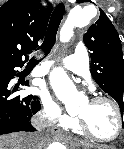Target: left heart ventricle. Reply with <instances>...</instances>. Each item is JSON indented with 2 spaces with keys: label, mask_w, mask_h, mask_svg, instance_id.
<instances>
[{
  "label": "left heart ventricle",
  "mask_w": 124,
  "mask_h": 149,
  "mask_svg": "<svg viewBox=\"0 0 124 149\" xmlns=\"http://www.w3.org/2000/svg\"><path fill=\"white\" fill-rule=\"evenodd\" d=\"M78 116H82L89 128L99 137L111 138L117 132V117L108 103L91 104L89 101L79 106Z\"/></svg>",
  "instance_id": "left-heart-ventricle-1"
}]
</instances>
